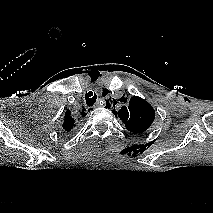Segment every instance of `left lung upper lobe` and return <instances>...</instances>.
<instances>
[{
	"label": "left lung upper lobe",
	"instance_id": "5c2ea615",
	"mask_svg": "<svg viewBox=\"0 0 213 213\" xmlns=\"http://www.w3.org/2000/svg\"><path fill=\"white\" fill-rule=\"evenodd\" d=\"M119 101L128 104L113 113L122 120L130 132L143 133L151 126L155 119V111L147 101L140 97H132L128 101L124 95Z\"/></svg>",
	"mask_w": 213,
	"mask_h": 213
}]
</instances>
